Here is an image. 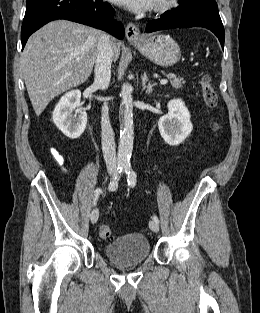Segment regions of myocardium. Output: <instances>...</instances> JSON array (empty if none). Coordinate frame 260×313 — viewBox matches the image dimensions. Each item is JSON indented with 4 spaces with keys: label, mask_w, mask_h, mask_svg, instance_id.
I'll return each instance as SVG.
<instances>
[{
    "label": "myocardium",
    "mask_w": 260,
    "mask_h": 313,
    "mask_svg": "<svg viewBox=\"0 0 260 313\" xmlns=\"http://www.w3.org/2000/svg\"><path fill=\"white\" fill-rule=\"evenodd\" d=\"M177 4V0H158L153 4V11L157 14L165 13L173 9Z\"/></svg>",
    "instance_id": "myocardium-1"
}]
</instances>
